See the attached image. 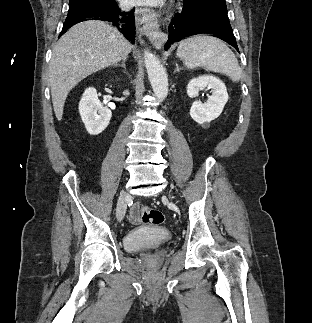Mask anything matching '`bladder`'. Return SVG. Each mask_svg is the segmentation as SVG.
<instances>
[{
  "label": "bladder",
  "instance_id": "bladder-1",
  "mask_svg": "<svg viewBox=\"0 0 312 323\" xmlns=\"http://www.w3.org/2000/svg\"><path fill=\"white\" fill-rule=\"evenodd\" d=\"M169 239V233H161L158 236H150L146 239H131L127 244L126 248L129 250L138 249L142 245H159L161 243L167 242Z\"/></svg>",
  "mask_w": 312,
  "mask_h": 323
}]
</instances>
